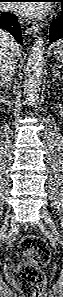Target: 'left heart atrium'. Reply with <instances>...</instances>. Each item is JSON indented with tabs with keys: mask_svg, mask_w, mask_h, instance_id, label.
Instances as JSON below:
<instances>
[{
	"mask_svg": "<svg viewBox=\"0 0 63 297\" xmlns=\"http://www.w3.org/2000/svg\"><path fill=\"white\" fill-rule=\"evenodd\" d=\"M12 8L26 16H41L45 12L44 6L37 3L15 4Z\"/></svg>",
	"mask_w": 63,
	"mask_h": 297,
	"instance_id": "1",
	"label": "left heart atrium"
}]
</instances>
